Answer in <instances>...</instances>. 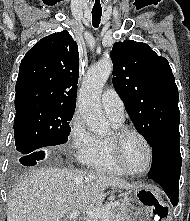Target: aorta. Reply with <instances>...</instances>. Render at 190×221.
I'll return each mask as SVG.
<instances>
[{"mask_svg": "<svg viewBox=\"0 0 190 221\" xmlns=\"http://www.w3.org/2000/svg\"><path fill=\"white\" fill-rule=\"evenodd\" d=\"M111 61H100L89 68L79 93L78 108L89 130L105 134L109 130L100 103L104 84L112 72Z\"/></svg>", "mask_w": 190, "mask_h": 221, "instance_id": "762f6f07", "label": "aorta"}]
</instances>
